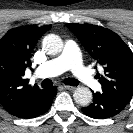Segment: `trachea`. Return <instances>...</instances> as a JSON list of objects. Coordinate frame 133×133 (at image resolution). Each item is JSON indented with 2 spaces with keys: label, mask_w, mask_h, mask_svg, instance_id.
I'll use <instances>...</instances> for the list:
<instances>
[{
  "label": "trachea",
  "mask_w": 133,
  "mask_h": 133,
  "mask_svg": "<svg viewBox=\"0 0 133 133\" xmlns=\"http://www.w3.org/2000/svg\"><path fill=\"white\" fill-rule=\"evenodd\" d=\"M64 83L67 85H71V86H77L78 85V81L74 78H66L64 80ZM52 81L50 79H45L42 81L41 86L42 87H51L52 86Z\"/></svg>",
  "instance_id": "1"
}]
</instances>
